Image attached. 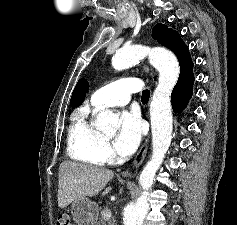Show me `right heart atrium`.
<instances>
[{
  "label": "right heart atrium",
  "instance_id": "d8ad5b80",
  "mask_svg": "<svg viewBox=\"0 0 237 225\" xmlns=\"http://www.w3.org/2000/svg\"><path fill=\"white\" fill-rule=\"evenodd\" d=\"M99 152L104 162H110L115 159L114 152L112 150L110 142L107 139L102 140L99 146Z\"/></svg>",
  "mask_w": 237,
  "mask_h": 225
}]
</instances>
